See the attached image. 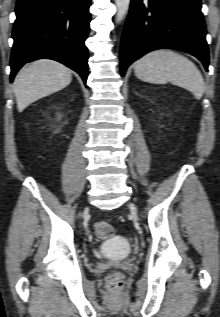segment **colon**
Listing matches in <instances>:
<instances>
[{
  "mask_svg": "<svg viewBox=\"0 0 220 317\" xmlns=\"http://www.w3.org/2000/svg\"><path fill=\"white\" fill-rule=\"evenodd\" d=\"M94 231L99 239H106L113 233V228L108 222L99 221L94 225ZM107 283L111 290H120L124 283V277L120 272H113L108 276Z\"/></svg>",
  "mask_w": 220,
  "mask_h": 317,
  "instance_id": "1",
  "label": "colon"
}]
</instances>
